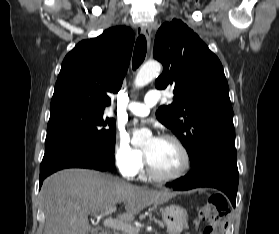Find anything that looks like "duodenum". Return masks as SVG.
<instances>
[{
    "mask_svg": "<svg viewBox=\"0 0 279 234\" xmlns=\"http://www.w3.org/2000/svg\"><path fill=\"white\" fill-rule=\"evenodd\" d=\"M98 234H109V233H107V232H101V233H98Z\"/></svg>",
    "mask_w": 279,
    "mask_h": 234,
    "instance_id": "410a0bca",
    "label": "duodenum"
}]
</instances>
